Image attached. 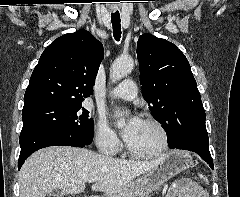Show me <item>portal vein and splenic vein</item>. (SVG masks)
<instances>
[{"mask_svg": "<svg viewBox=\"0 0 240 197\" xmlns=\"http://www.w3.org/2000/svg\"><path fill=\"white\" fill-rule=\"evenodd\" d=\"M96 181H97V179H94V178L88 180V182H90V183H93V182H96Z\"/></svg>", "mask_w": 240, "mask_h": 197, "instance_id": "obj_1", "label": "portal vein and splenic vein"}]
</instances>
